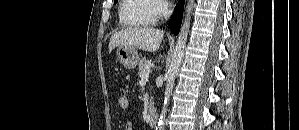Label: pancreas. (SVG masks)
<instances>
[{
	"label": "pancreas",
	"mask_w": 299,
	"mask_h": 130,
	"mask_svg": "<svg viewBox=\"0 0 299 130\" xmlns=\"http://www.w3.org/2000/svg\"><path fill=\"white\" fill-rule=\"evenodd\" d=\"M150 61L147 58H141L138 65V75L141 77L142 74L148 72Z\"/></svg>",
	"instance_id": "pancreas-1"
}]
</instances>
